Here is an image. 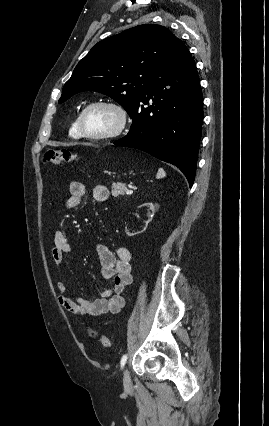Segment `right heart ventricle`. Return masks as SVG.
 Masks as SVG:
<instances>
[{"instance_id":"e07e8e85","label":"right heart ventricle","mask_w":269,"mask_h":426,"mask_svg":"<svg viewBox=\"0 0 269 426\" xmlns=\"http://www.w3.org/2000/svg\"><path fill=\"white\" fill-rule=\"evenodd\" d=\"M69 134L73 137V138H81L82 135L80 133L79 127H78V118H76L69 129Z\"/></svg>"}]
</instances>
